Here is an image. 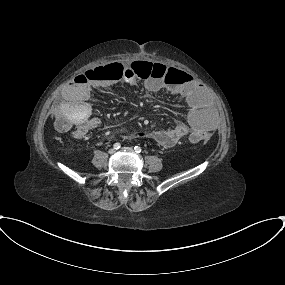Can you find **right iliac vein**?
Returning a JSON list of instances; mask_svg holds the SVG:
<instances>
[{
    "label": "right iliac vein",
    "instance_id": "right-iliac-vein-1",
    "mask_svg": "<svg viewBox=\"0 0 285 285\" xmlns=\"http://www.w3.org/2000/svg\"><path fill=\"white\" fill-rule=\"evenodd\" d=\"M109 154H114L115 153V149H113V148H111V149H109Z\"/></svg>",
    "mask_w": 285,
    "mask_h": 285
}]
</instances>
